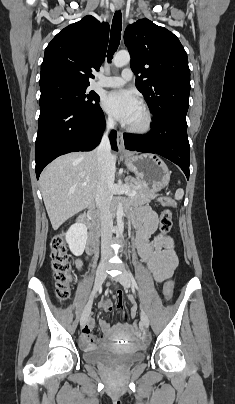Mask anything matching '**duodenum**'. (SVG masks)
Instances as JSON below:
<instances>
[{
  "mask_svg": "<svg viewBox=\"0 0 235 404\" xmlns=\"http://www.w3.org/2000/svg\"><path fill=\"white\" fill-rule=\"evenodd\" d=\"M79 222H82V220H80ZM97 242H98L97 222L94 219L92 221L91 230L87 237L86 242V251L88 254H92L95 251Z\"/></svg>",
  "mask_w": 235,
  "mask_h": 404,
  "instance_id": "1",
  "label": "duodenum"
}]
</instances>
